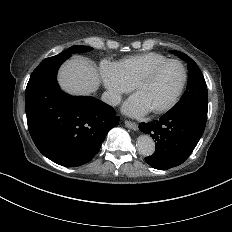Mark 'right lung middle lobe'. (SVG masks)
<instances>
[{"label":"right lung middle lobe","instance_id":"obj_1","mask_svg":"<svg viewBox=\"0 0 232 232\" xmlns=\"http://www.w3.org/2000/svg\"><path fill=\"white\" fill-rule=\"evenodd\" d=\"M92 48L88 46H72L67 50L61 52L59 55H71L73 53H80L85 51H90Z\"/></svg>","mask_w":232,"mask_h":232}]
</instances>
